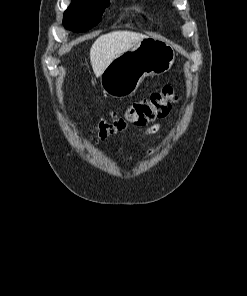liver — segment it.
<instances>
[{"instance_id": "1", "label": "liver", "mask_w": 247, "mask_h": 296, "mask_svg": "<svg viewBox=\"0 0 247 296\" xmlns=\"http://www.w3.org/2000/svg\"><path fill=\"white\" fill-rule=\"evenodd\" d=\"M146 37L130 31H115L99 36L90 49V62L96 77H100L114 59Z\"/></svg>"}]
</instances>
